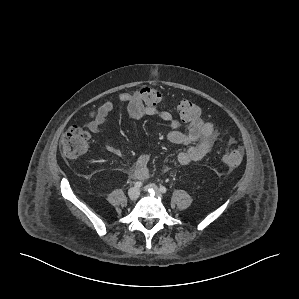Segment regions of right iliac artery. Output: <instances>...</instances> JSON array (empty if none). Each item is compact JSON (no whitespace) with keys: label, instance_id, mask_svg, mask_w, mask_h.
Wrapping results in <instances>:
<instances>
[{"label":"right iliac artery","instance_id":"right-iliac-artery-1","mask_svg":"<svg viewBox=\"0 0 299 299\" xmlns=\"http://www.w3.org/2000/svg\"><path fill=\"white\" fill-rule=\"evenodd\" d=\"M142 186V182L138 181L135 183V188H140Z\"/></svg>","mask_w":299,"mask_h":299}]
</instances>
